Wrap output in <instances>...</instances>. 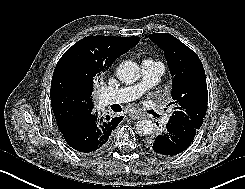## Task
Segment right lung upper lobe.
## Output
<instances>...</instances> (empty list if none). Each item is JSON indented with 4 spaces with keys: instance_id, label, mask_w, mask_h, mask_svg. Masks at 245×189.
Returning <instances> with one entry per match:
<instances>
[{
    "instance_id": "obj_1",
    "label": "right lung upper lobe",
    "mask_w": 245,
    "mask_h": 189,
    "mask_svg": "<svg viewBox=\"0 0 245 189\" xmlns=\"http://www.w3.org/2000/svg\"><path fill=\"white\" fill-rule=\"evenodd\" d=\"M139 41L137 36H88L63 54L54 70L50 91L60 131L92 114L94 81Z\"/></svg>"
}]
</instances>
